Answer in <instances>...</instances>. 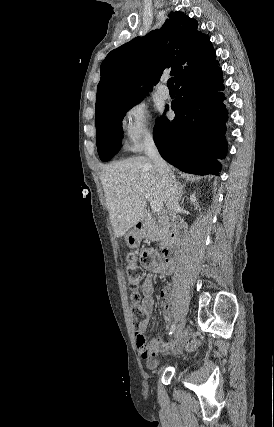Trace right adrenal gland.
Returning a JSON list of instances; mask_svg holds the SVG:
<instances>
[{"label": "right adrenal gland", "instance_id": "obj_1", "mask_svg": "<svg viewBox=\"0 0 274 427\" xmlns=\"http://www.w3.org/2000/svg\"><path fill=\"white\" fill-rule=\"evenodd\" d=\"M177 184L179 186L178 198H179V200H182V196H183V192H184V186H181L180 182H177Z\"/></svg>", "mask_w": 274, "mask_h": 427}]
</instances>
